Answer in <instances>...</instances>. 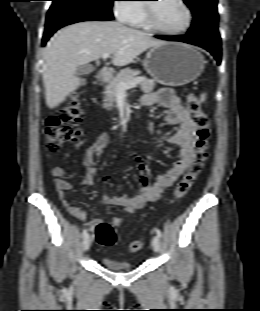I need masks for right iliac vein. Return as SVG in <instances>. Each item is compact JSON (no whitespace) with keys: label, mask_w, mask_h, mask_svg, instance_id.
<instances>
[{"label":"right iliac vein","mask_w":260,"mask_h":311,"mask_svg":"<svg viewBox=\"0 0 260 311\" xmlns=\"http://www.w3.org/2000/svg\"><path fill=\"white\" fill-rule=\"evenodd\" d=\"M91 242L92 241H91L90 235H87L86 237H84L83 239V250L84 251H87L90 248Z\"/></svg>","instance_id":"1"}]
</instances>
